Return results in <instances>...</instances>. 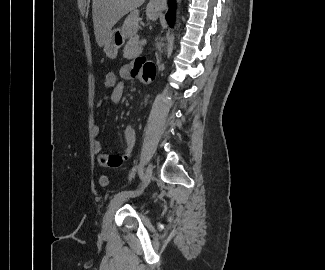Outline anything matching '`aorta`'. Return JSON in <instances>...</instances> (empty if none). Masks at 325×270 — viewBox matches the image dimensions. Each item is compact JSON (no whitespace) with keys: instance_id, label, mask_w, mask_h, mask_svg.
Instances as JSON below:
<instances>
[{"instance_id":"aorta-1","label":"aorta","mask_w":325,"mask_h":270,"mask_svg":"<svg viewBox=\"0 0 325 270\" xmlns=\"http://www.w3.org/2000/svg\"><path fill=\"white\" fill-rule=\"evenodd\" d=\"M181 1L182 0H176V2H177V9L179 10V6H180V4H181ZM178 10H177V16H178ZM176 28V27H175ZM174 39V36L173 35H171L170 36V40L172 41Z\"/></svg>"}]
</instances>
